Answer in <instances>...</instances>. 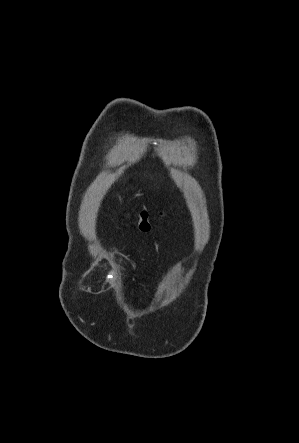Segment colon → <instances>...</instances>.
<instances>
[{"instance_id": "1", "label": "colon", "mask_w": 299, "mask_h": 443, "mask_svg": "<svg viewBox=\"0 0 299 443\" xmlns=\"http://www.w3.org/2000/svg\"><path fill=\"white\" fill-rule=\"evenodd\" d=\"M135 223L137 227L142 231H150L153 228V223L151 221L150 215L146 211H141L136 215Z\"/></svg>"}]
</instances>
